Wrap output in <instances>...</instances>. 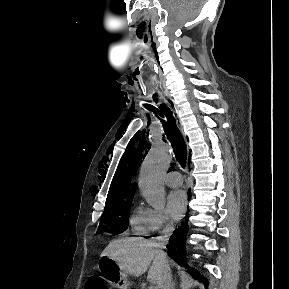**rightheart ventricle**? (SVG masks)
<instances>
[{"label":"right heart ventricle","instance_id":"e07e8e85","mask_svg":"<svg viewBox=\"0 0 289 289\" xmlns=\"http://www.w3.org/2000/svg\"><path fill=\"white\" fill-rule=\"evenodd\" d=\"M152 209L142 205L133 207L130 216V225L136 235H148L151 232Z\"/></svg>","mask_w":289,"mask_h":289}]
</instances>
